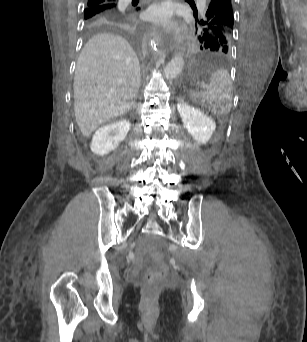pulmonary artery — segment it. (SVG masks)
<instances>
[{
  "instance_id": "obj_1",
  "label": "pulmonary artery",
  "mask_w": 307,
  "mask_h": 342,
  "mask_svg": "<svg viewBox=\"0 0 307 342\" xmlns=\"http://www.w3.org/2000/svg\"><path fill=\"white\" fill-rule=\"evenodd\" d=\"M122 2V6L123 8L125 7L126 4H124V2H127V1H121Z\"/></svg>"
}]
</instances>
